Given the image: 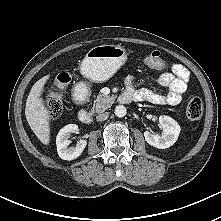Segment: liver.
Instances as JSON below:
<instances>
[{
  "mask_svg": "<svg viewBox=\"0 0 221 221\" xmlns=\"http://www.w3.org/2000/svg\"><path fill=\"white\" fill-rule=\"evenodd\" d=\"M49 77V75L44 76L33 85L25 106L27 122L38 140L44 145H48L50 142V112L41 95Z\"/></svg>",
  "mask_w": 221,
  "mask_h": 221,
  "instance_id": "liver-1",
  "label": "liver"
}]
</instances>
